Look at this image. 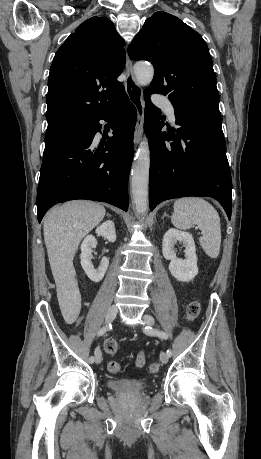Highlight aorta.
<instances>
[{
  "mask_svg": "<svg viewBox=\"0 0 261 459\" xmlns=\"http://www.w3.org/2000/svg\"><path fill=\"white\" fill-rule=\"evenodd\" d=\"M137 82L149 85L154 76V68L149 63L139 62L134 65ZM150 169V150L148 139L144 136L134 157L131 170V196L137 215L143 217L148 209V184Z\"/></svg>",
  "mask_w": 261,
  "mask_h": 459,
  "instance_id": "obj_1",
  "label": "aorta"
}]
</instances>
